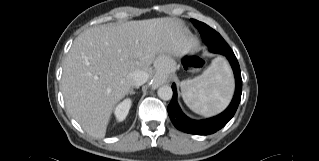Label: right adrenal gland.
<instances>
[{"label": "right adrenal gland", "mask_w": 319, "mask_h": 161, "mask_svg": "<svg viewBox=\"0 0 319 161\" xmlns=\"http://www.w3.org/2000/svg\"><path fill=\"white\" fill-rule=\"evenodd\" d=\"M136 88H138V87H136ZM133 89H134V87H132V88L130 89L129 93H128L130 96L133 95V94H135V92H134Z\"/></svg>", "instance_id": "1"}]
</instances>
